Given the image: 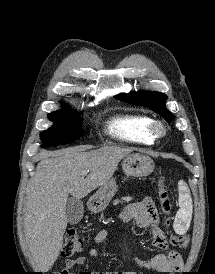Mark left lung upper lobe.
Returning a JSON list of instances; mask_svg holds the SVG:
<instances>
[{
	"label": "left lung upper lobe",
	"instance_id": "1",
	"mask_svg": "<svg viewBox=\"0 0 215 274\" xmlns=\"http://www.w3.org/2000/svg\"><path fill=\"white\" fill-rule=\"evenodd\" d=\"M116 98L134 105L150 107L167 121L172 119L171 113L165 108L164 102L167 96L164 93L138 91L130 94H119Z\"/></svg>",
	"mask_w": 215,
	"mask_h": 274
}]
</instances>
